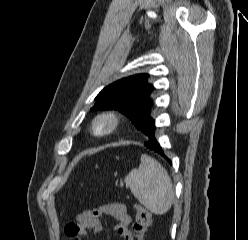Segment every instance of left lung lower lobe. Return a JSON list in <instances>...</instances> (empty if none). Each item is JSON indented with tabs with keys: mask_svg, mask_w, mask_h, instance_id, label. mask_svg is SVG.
I'll use <instances>...</instances> for the list:
<instances>
[{
	"mask_svg": "<svg viewBox=\"0 0 248 240\" xmlns=\"http://www.w3.org/2000/svg\"><path fill=\"white\" fill-rule=\"evenodd\" d=\"M154 134H155V121L153 120V122L150 126V130H149L148 134L146 135L148 137V140L144 143V145L148 149L160 154L161 156L166 158L171 163V161L165 156L163 149L161 148L160 144L156 140Z\"/></svg>",
	"mask_w": 248,
	"mask_h": 240,
	"instance_id": "0a47b994",
	"label": "left lung lower lobe"
}]
</instances>
